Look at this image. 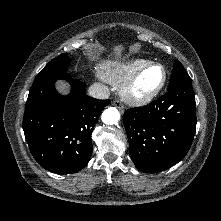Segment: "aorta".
<instances>
[{
  "label": "aorta",
  "instance_id": "762f6f07",
  "mask_svg": "<svg viewBox=\"0 0 221 221\" xmlns=\"http://www.w3.org/2000/svg\"><path fill=\"white\" fill-rule=\"evenodd\" d=\"M102 122L107 125L117 124L120 119V113L115 107H109L103 111L101 116Z\"/></svg>",
  "mask_w": 221,
  "mask_h": 221
}]
</instances>
